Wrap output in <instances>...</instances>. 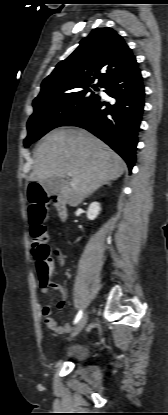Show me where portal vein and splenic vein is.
Instances as JSON below:
<instances>
[{
	"label": "portal vein and splenic vein",
	"instance_id": "18ae733b",
	"mask_svg": "<svg viewBox=\"0 0 168 415\" xmlns=\"http://www.w3.org/2000/svg\"><path fill=\"white\" fill-rule=\"evenodd\" d=\"M68 175H69V176H71V174H70V173H69ZM71 186H74V184H71Z\"/></svg>",
	"mask_w": 168,
	"mask_h": 415
}]
</instances>
